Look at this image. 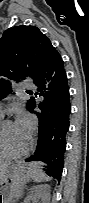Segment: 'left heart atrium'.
Returning <instances> with one entry per match:
<instances>
[{
	"mask_svg": "<svg viewBox=\"0 0 89 203\" xmlns=\"http://www.w3.org/2000/svg\"><path fill=\"white\" fill-rule=\"evenodd\" d=\"M15 125L24 137L29 138L34 125L33 118L24 112L19 113Z\"/></svg>",
	"mask_w": 89,
	"mask_h": 203,
	"instance_id": "39dd6f15",
	"label": "left heart atrium"
}]
</instances>
